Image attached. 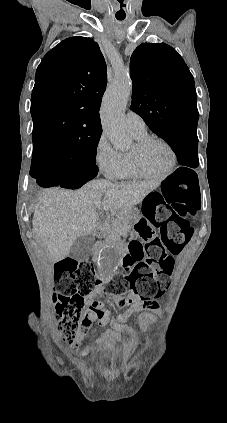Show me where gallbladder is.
<instances>
[{
	"label": "gallbladder",
	"mask_w": 227,
	"mask_h": 423,
	"mask_svg": "<svg viewBox=\"0 0 227 423\" xmlns=\"http://www.w3.org/2000/svg\"><path fill=\"white\" fill-rule=\"evenodd\" d=\"M94 243L95 235H93V233H90V235H81V237H77L70 249V257H73V259H78V261L87 259L91 253V249Z\"/></svg>",
	"instance_id": "bac80fb5"
}]
</instances>
